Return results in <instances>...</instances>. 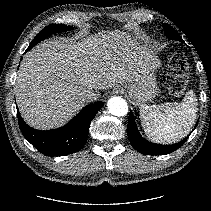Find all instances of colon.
Wrapping results in <instances>:
<instances>
[{
	"mask_svg": "<svg viewBox=\"0 0 211 211\" xmlns=\"http://www.w3.org/2000/svg\"><path fill=\"white\" fill-rule=\"evenodd\" d=\"M164 82L173 94H182L188 87L187 60L182 52H175L168 61Z\"/></svg>",
	"mask_w": 211,
	"mask_h": 211,
	"instance_id": "5ec220e1",
	"label": "colon"
}]
</instances>
